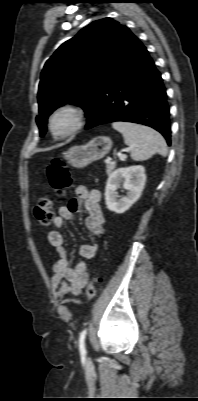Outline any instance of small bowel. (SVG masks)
Masks as SVG:
<instances>
[{
    "label": "small bowel",
    "instance_id": "1",
    "mask_svg": "<svg viewBox=\"0 0 198 401\" xmlns=\"http://www.w3.org/2000/svg\"><path fill=\"white\" fill-rule=\"evenodd\" d=\"M76 195V198L59 208L58 214L53 218L54 229L48 233V241L57 255L51 277V286L57 299H63L69 295H80L89 279L86 260L93 259L97 252L95 244L81 245L79 253L83 260L72 265L68 259L62 233L65 222L72 219L74 213L84 209L87 212L85 219L87 230L94 236H99L104 232L105 220L100 205L101 193L96 189H89L81 185L76 188Z\"/></svg>",
    "mask_w": 198,
    "mask_h": 401
}]
</instances>
